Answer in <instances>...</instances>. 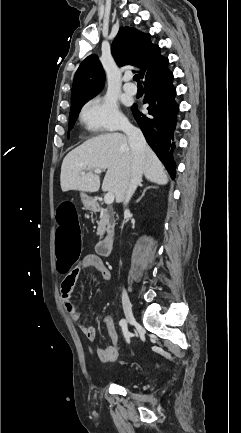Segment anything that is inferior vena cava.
Masks as SVG:
<instances>
[{
	"label": "inferior vena cava",
	"instance_id": "1",
	"mask_svg": "<svg viewBox=\"0 0 241 433\" xmlns=\"http://www.w3.org/2000/svg\"><path fill=\"white\" fill-rule=\"evenodd\" d=\"M123 132L127 135L131 154L132 165L128 189L124 198L126 206L138 185H140L144 170L146 141L140 129L134 127L130 123H126L123 127Z\"/></svg>",
	"mask_w": 241,
	"mask_h": 433
}]
</instances>
